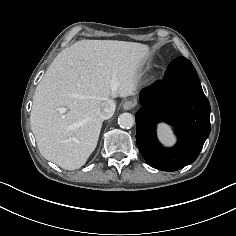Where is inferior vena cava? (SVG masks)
<instances>
[{"label":"inferior vena cava","mask_w":236,"mask_h":236,"mask_svg":"<svg viewBox=\"0 0 236 236\" xmlns=\"http://www.w3.org/2000/svg\"><path fill=\"white\" fill-rule=\"evenodd\" d=\"M115 102L107 101L103 104L102 108L100 109L98 115L102 120H106L112 117L115 111Z\"/></svg>","instance_id":"obj_1"}]
</instances>
